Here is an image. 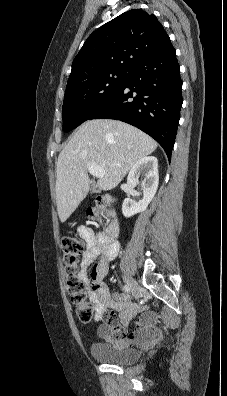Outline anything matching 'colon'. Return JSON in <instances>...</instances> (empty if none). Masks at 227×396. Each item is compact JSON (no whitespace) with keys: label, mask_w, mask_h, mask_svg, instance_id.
I'll return each instance as SVG.
<instances>
[{"label":"colon","mask_w":227,"mask_h":396,"mask_svg":"<svg viewBox=\"0 0 227 396\" xmlns=\"http://www.w3.org/2000/svg\"><path fill=\"white\" fill-rule=\"evenodd\" d=\"M104 209L105 200L98 197L95 206L88 210V215L92 219L99 220ZM61 249L67 290L76 306V314L81 322H90L93 318L95 307L91 302L87 301L84 283L78 277V262L84 252L85 243L75 236H66L62 239Z\"/></svg>","instance_id":"1"}]
</instances>
